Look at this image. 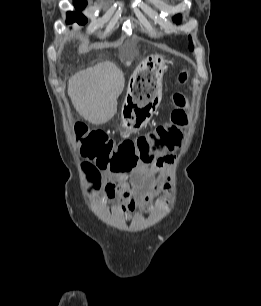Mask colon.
I'll list each match as a JSON object with an SVG mask.
<instances>
[{
	"label": "colon",
	"mask_w": 261,
	"mask_h": 306,
	"mask_svg": "<svg viewBox=\"0 0 261 306\" xmlns=\"http://www.w3.org/2000/svg\"><path fill=\"white\" fill-rule=\"evenodd\" d=\"M188 72L181 71L178 81L185 84ZM174 108L171 120L161 124L136 139H129L115 144L104 131L90 130L84 125H75L74 134L77 147L85 161L83 169L96 183L100 172L132 170L138 166L152 164L159 157L175 150L188 124V99L182 92L172 95Z\"/></svg>",
	"instance_id": "colon-1"
}]
</instances>
